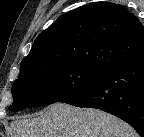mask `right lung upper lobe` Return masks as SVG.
Here are the masks:
<instances>
[{
    "label": "right lung upper lobe",
    "mask_w": 144,
    "mask_h": 137,
    "mask_svg": "<svg viewBox=\"0 0 144 137\" xmlns=\"http://www.w3.org/2000/svg\"><path fill=\"white\" fill-rule=\"evenodd\" d=\"M144 53V27L123 6L87 4L60 16L36 38L20 67L75 62L105 72Z\"/></svg>",
    "instance_id": "cb5924a9"
}]
</instances>
